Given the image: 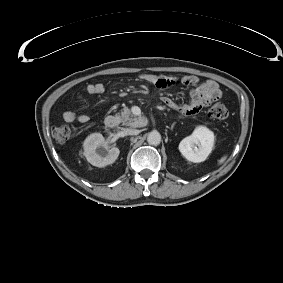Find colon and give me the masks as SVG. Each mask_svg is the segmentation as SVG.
Listing matches in <instances>:
<instances>
[{
  "label": "colon",
  "mask_w": 283,
  "mask_h": 283,
  "mask_svg": "<svg viewBox=\"0 0 283 283\" xmlns=\"http://www.w3.org/2000/svg\"><path fill=\"white\" fill-rule=\"evenodd\" d=\"M209 116L213 120H224L228 116V110L223 104H214L209 109ZM75 130L73 127L63 124L53 128L52 135L59 143H65L73 138Z\"/></svg>",
  "instance_id": "obj_1"
}]
</instances>
